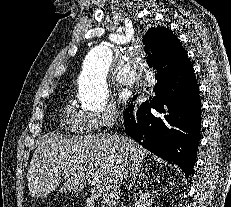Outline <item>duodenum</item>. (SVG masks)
I'll return each mask as SVG.
<instances>
[{
  "mask_svg": "<svg viewBox=\"0 0 231 207\" xmlns=\"http://www.w3.org/2000/svg\"><path fill=\"white\" fill-rule=\"evenodd\" d=\"M87 207H96V203L93 200L89 199L87 201Z\"/></svg>",
  "mask_w": 231,
  "mask_h": 207,
  "instance_id": "410a0bca",
  "label": "duodenum"
}]
</instances>
